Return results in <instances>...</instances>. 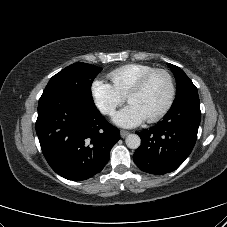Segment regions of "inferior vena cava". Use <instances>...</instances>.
I'll return each mask as SVG.
<instances>
[{"mask_svg":"<svg viewBox=\"0 0 227 227\" xmlns=\"http://www.w3.org/2000/svg\"><path fill=\"white\" fill-rule=\"evenodd\" d=\"M103 112L107 113L108 112V109H103Z\"/></svg>","mask_w":227,"mask_h":227,"instance_id":"602c4592","label":"inferior vena cava"}]
</instances>
